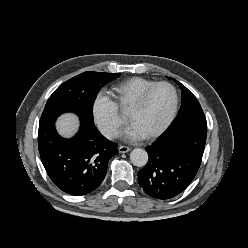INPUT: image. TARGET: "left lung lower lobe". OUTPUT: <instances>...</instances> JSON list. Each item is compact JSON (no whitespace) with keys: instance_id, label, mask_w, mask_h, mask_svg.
I'll use <instances>...</instances> for the list:
<instances>
[{"instance_id":"0a47b994","label":"left lung lower lobe","mask_w":248,"mask_h":248,"mask_svg":"<svg viewBox=\"0 0 248 248\" xmlns=\"http://www.w3.org/2000/svg\"><path fill=\"white\" fill-rule=\"evenodd\" d=\"M207 123L186 122L168 128L146 147L148 163L138 172V182L150 196L170 199L184 191L200 167Z\"/></svg>"}]
</instances>
